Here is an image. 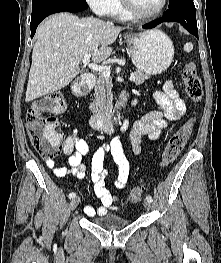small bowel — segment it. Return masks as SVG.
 I'll use <instances>...</instances> for the list:
<instances>
[{"mask_svg": "<svg viewBox=\"0 0 221 263\" xmlns=\"http://www.w3.org/2000/svg\"><path fill=\"white\" fill-rule=\"evenodd\" d=\"M153 98L160 105L164 114L151 112L136 121L130 131V141L135 154L140 152V139L147 135L151 140L159 138L163 127L164 118L178 120L186 113V104L174 90L171 82H166L161 91H155ZM91 151V146L85 140L79 138V130L74 128L67 136L64 144V154L68 157L69 167H57L53 160H46L45 164L52 169L56 177H85V165L82 162L83 156ZM106 154L112 156L117 165L118 172L114 180V186L122 189L126 186L129 172L130 160L119 138H114L109 144H104L94 151L91 160V181L95 196L100 200L101 205L95 209L87 206L84 212L87 216L93 217L96 214L104 215L108 211L118 210V198L113 196L106 187L105 179L107 171L104 169Z\"/></svg>", "mask_w": 221, "mask_h": 263, "instance_id": "obj_1", "label": "small bowel"}]
</instances>
